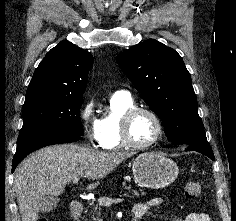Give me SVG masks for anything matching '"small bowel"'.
Listing matches in <instances>:
<instances>
[{"mask_svg":"<svg viewBox=\"0 0 236 221\" xmlns=\"http://www.w3.org/2000/svg\"><path fill=\"white\" fill-rule=\"evenodd\" d=\"M165 206L161 198H153L145 202H138L133 207V217L136 221L145 215L153 208ZM172 221H211L208 214L203 212H190L186 216L181 217L177 213H173Z\"/></svg>","mask_w":236,"mask_h":221,"instance_id":"c3829d8e","label":"small bowel"}]
</instances>
